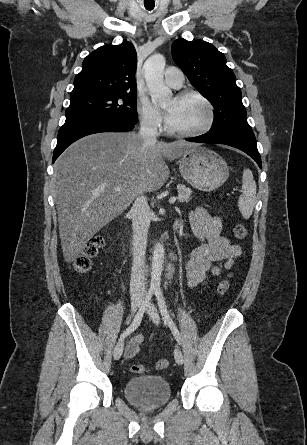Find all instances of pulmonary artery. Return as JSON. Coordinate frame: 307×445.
<instances>
[{
  "label": "pulmonary artery",
  "instance_id": "pulmonary-artery-1",
  "mask_svg": "<svg viewBox=\"0 0 307 445\" xmlns=\"http://www.w3.org/2000/svg\"><path fill=\"white\" fill-rule=\"evenodd\" d=\"M165 80L171 86H180L183 81L182 69H166Z\"/></svg>",
  "mask_w": 307,
  "mask_h": 445
}]
</instances>
